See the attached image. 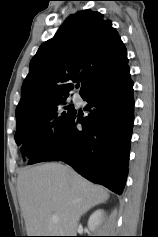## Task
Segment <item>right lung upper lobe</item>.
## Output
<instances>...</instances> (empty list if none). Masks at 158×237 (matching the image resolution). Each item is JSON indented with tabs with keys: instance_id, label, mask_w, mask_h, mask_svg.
Wrapping results in <instances>:
<instances>
[{
	"instance_id": "1",
	"label": "right lung upper lobe",
	"mask_w": 158,
	"mask_h": 237,
	"mask_svg": "<svg viewBox=\"0 0 158 237\" xmlns=\"http://www.w3.org/2000/svg\"><path fill=\"white\" fill-rule=\"evenodd\" d=\"M103 14L91 10L70 15L30 62L16 118L34 114L68 97L71 82H82L80 95L118 72L128 62L118 32Z\"/></svg>"
}]
</instances>
